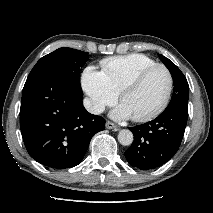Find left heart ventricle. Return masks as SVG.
Segmentation results:
<instances>
[{
	"mask_svg": "<svg viewBox=\"0 0 213 213\" xmlns=\"http://www.w3.org/2000/svg\"><path fill=\"white\" fill-rule=\"evenodd\" d=\"M168 87V76L162 69L149 73L141 83L129 91L121 104L131 117L141 116L154 109L164 98Z\"/></svg>",
	"mask_w": 213,
	"mask_h": 213,
	"instance_id": "left-heart-ventricle-1",
	"label": "left heart ventricle"
}]
</instances>
